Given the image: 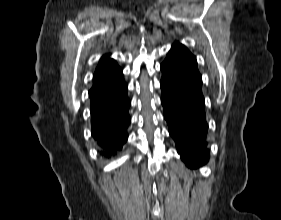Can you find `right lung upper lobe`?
Returning <instances> with one entry per match:
<instances>
[{
  "mask_svg": "<svg viewBox=\"0 0 281 220\" xmlns=\"http://www.w3.org/2000/svg\"><path fill=\"white\" fill-rule=\"evenodd\" d=\"M122 80V69L108 55H104L95 70L91 89L113 86Z\"/></svg>",
  "mask_w": 281,
  "mask_h": 220,
  "instance_id": "right-lung-upper-lobe-1",
  "label": "right lung upper lobe"
}]
</instances>
